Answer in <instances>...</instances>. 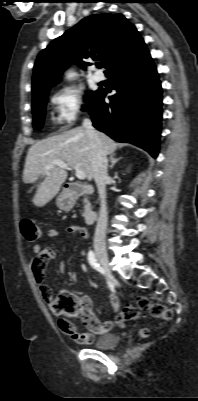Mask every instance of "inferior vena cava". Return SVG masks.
<instances>
[{"label":"inferior vena cava","instance_id":"1","mask_svg":"<svg viewBox=\"0 0 198 401\" xmlns=\"http://www.w3.org/2000/svg\"><path fill=\"white\" fill-rule=\"evenodd\" d=\"M83 128L88 133L90 138V146L93 159V171L94 180L98 189L99 200H100V210L98 221L94 234V244L104 245L107 229L108 211L106 202V182L108 180V160L107 154L103 149L101 140L98 136L97 131L92 126L90 119H84L82 123Z\"/></svg>","mask_w":198,"mask_h":401}]
</instances>
